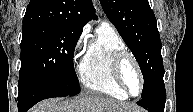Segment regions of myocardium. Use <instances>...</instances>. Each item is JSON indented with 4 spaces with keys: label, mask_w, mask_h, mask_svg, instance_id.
Segmentation results:
<instances>
[{
    "label": "myocardium",
    "mask_w": 193,
    "mask_h": 112,
    "mask_svg": "<svg viewBox=\"0 0 193 112\" xmlns=\"http://www.w3.org/2000/svg\"><path fill=\"white\" fill-rule=\"evenodd\" d=\"M127 61L132 62L139 78L140 89L137 94H133L130 91L123 76V67ZM111 67L113 78L122 91H124L128 96L131 97H137L142 94L144 90V76L137 58L131 51H129L128 49H122L118 51L113 57Z\"/></svg>",
    "instance_id": "myocardium-1"
}]
</instances>
